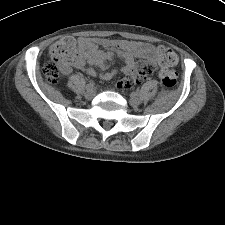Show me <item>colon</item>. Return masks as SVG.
<instances>
[{"label": "colon", "mask_w": 225, "mask_h": 225, "mask_svg": "<svg viewBox=\"0 0 225 225\" xmlns=\"http://www.w3.org/2000/svg\"><path fill=\"white\" fill-rule=\"evenodd\" d=\"M52 62L44 65V75L49 83H56L59 77V65H73L77 61L75 43L72 38L66 37L57 41L50 49ZM178 57L171 49H164L158 57V64L161 68V81L166 88H175L178 85L177 76L169 71V68L176 65ZM158 68L155 64L142 61L138 63L135 72L116 83L121 91H127L140 84Z\"/></svg>", "instance_id": "1"}]
</instances>
